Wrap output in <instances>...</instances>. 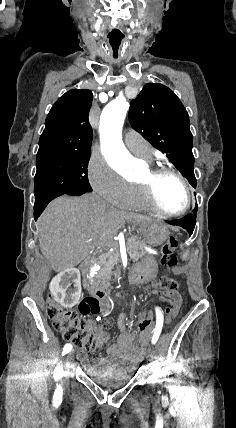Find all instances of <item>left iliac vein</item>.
Segmentation results:
<instances>
[{
    "mask_svg": "<svg viewBox=\"0 0 236 428\" xmlns=\"http://www.w3.org/2000/svg\"><path fill=\"white\" fill-rule=\"evenodd\" d=\"M158 356L157 350L156 349H151L150 353H149V358L147 359V362H152L154 361V359Z\"/></svg>",
    "mask_w": 236,
    "mask_h": 428,
    "instance_id": "1",
    "label": "left iliac vein"
}]
</instances>
